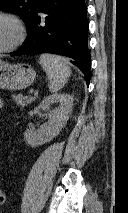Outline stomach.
Wrapping results in <instances>:
<instances>
[{
	"instance_id": "stomach-1",
	"label": "stomach",
	"mask_w": 128,
	"mask_h": 213,
	"mask_svg": "<svg viewBox=\"0 0 128 213\" xmlns=\"http://www.w3.org/2000/svg\"><path fill=\"white\" fill-rule=\"evenodd\" d=\"M36 78L35 70L28 64H9L0 60V89L21 90Z\"/></svg>"
}]
</instances>
